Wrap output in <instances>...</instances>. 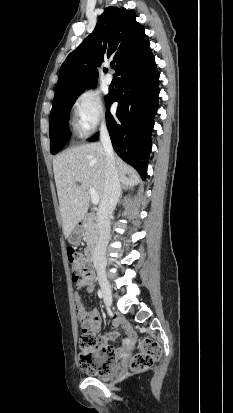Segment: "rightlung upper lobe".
Wrapping results in <instances>:
<instances>
[{"mask_svg":"<svg viewBox=\"0 0 233 413\" xmlns=\"http://www.w3.org/2000/svg\"><path fill=\"white\" fill-rule=\"evenodd\" d=\"M148 43L136 14L125 8L107 7L94 31L65 59L59 71L53 104L79 94L97 82L104 57H113L115 70Z\"/></svg>","mask_w":233,"mask_h":413,"instance_id":"1","label":"right lung upper lobe"}]
</instances>
